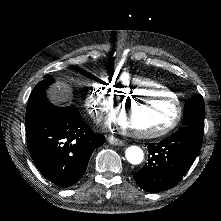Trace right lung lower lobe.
<instances>
[{"label":"right lung lower lobe","mask_w":221,"mask_h":221,"mask_svg":"<svg viewBox=\"0 0 221 221\" xmlns=\"http://www.w3.org/2000/svg\"><path fill=\"white\" fill-rule=\"evenodd\" d=\"M26 136L36 167L60 187H69L83 176L92 152L105 141L78 112L33 120L26 125Z\"/></svg>","instance_id":"1"}]
</instances>
